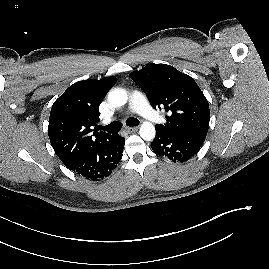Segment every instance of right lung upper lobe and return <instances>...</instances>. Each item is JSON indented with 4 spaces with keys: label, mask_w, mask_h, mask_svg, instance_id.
Segmentation results:
<instances>
[{
    "label": "right lung upper lobe",
    "mask_w": 269,
    "mask_h": 269,
    "mask_svg": "<svg viewBox=\"0 0 269 269\" xmlns=\"http://www.w3.org/2000/svg\"><path fill=\"white\" fill-rule=\"evenodd\" d=\"M116 80L107 77L76 82L53 103L48 135L65 166L111 136L105 132H91L100 121L99 105Z\"/></svg>",
    "instance_id": "cb5924a9"
}]
</instances>
